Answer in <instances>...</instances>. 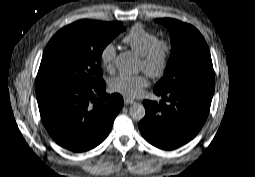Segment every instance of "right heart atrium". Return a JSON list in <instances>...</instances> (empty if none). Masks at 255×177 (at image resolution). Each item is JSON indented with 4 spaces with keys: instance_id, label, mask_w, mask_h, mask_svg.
I'll return each instance as SVG.
<instances>
[{
    "instance_id": "obj_1",
    "label": "right heart atrium",
    "mask_w": 255,
    "mask_h": 177,
    "mask_svg": "<svg viewBox=\"0 0 255 177\" xmlns=\"http://www.w3.org/2000/svg\"><path fill=\"white\" fill-rule=\"evenodd\" d=\"M115 59L116 47L114 43L109 42L100 51V62L107 71L112 72L114 70Z\"/></svg>"
}]
</instances>
